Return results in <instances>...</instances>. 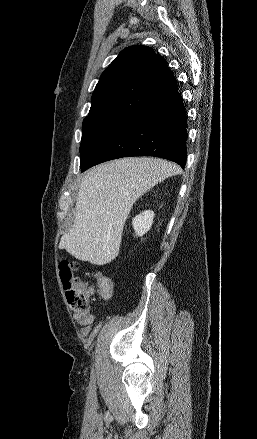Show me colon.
<instances>
[{
  "label": "colon",
  "mask_w": 257,
  "mask_h": 439,
  "mask_svg": "<svg viewBox=\"0 0 257 439\" xmlns=\"http://www.w3.org/2000/svg\"><path fill=\"white\" fill-rule=\"evenodd\" d=\"M59 269L67 301L71 308L80 315L86 316L88 314V300L94 292L100 296H108L112 292V282L104 274L97 275L94 287L87 286L82 278L76 274L77 263L67 257L61 259Z\"/></svg>",
  "instance_id": "colon-1"
}]
</instances>
